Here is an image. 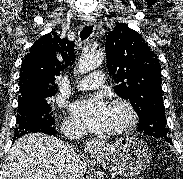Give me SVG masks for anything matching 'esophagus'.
I'll return each instance as SVG.
<instances>
[{
    "label": "esophagus",
    "instance_id": "obj_1",
    "mask_svg": "<svg viewBox=\"0 0 183 179\" xmlns=\"http://www.w3.org/2000/svg\"><path fill=\"white\" fill-rule=\"evenodd\" d=\"M94 23L93 19H87L86 24L88 26H91ZM103 146V143L99 140H90L87 143V149L90 153L96 154L100 151L101 147Z\"/></svg>",
    "mask_w": 183,
    "mask_h": 179
}]
</instances>
